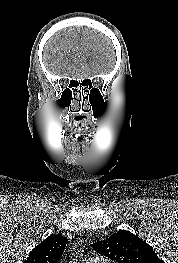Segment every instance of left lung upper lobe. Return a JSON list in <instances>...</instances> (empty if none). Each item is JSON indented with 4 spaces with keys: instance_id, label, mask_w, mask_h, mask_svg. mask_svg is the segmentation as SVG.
I'll list each match as a JSON object with an SVG mask.
<instances>
[{
    "instance_id": "1",
    "label": "left lung upper lobe",
    "mask_w": 178,
    "mask_h": 263,
    "mask_svg": "<svg viewBox=\"0 0 178 263\" xmlns=\"http://www.w3.org/2000/svg\"><path fill=\"white\" fill-rule=\"evenodd\" d=\"M92 247L97 253L118 263H164L150 245L125 230L92 244Z\"/></svg>"
}]
</instances>
